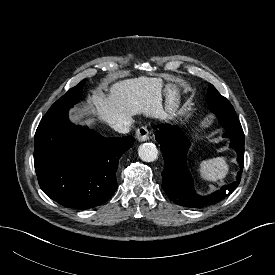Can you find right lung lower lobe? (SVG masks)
I'll list each match as a JSON object with an SVG mask.
<instances>
[{
    "label": "right lung lower lobe",
    "instance_id": "obj_1",
    "mask_svg": "<svg viewBox=\"0 0 275 275\" xmlns=\"http://www.w3.org/2000/svg\"><path fill=\"white\" fill-rule=\"evenodd\" d=\"M68 109L45 115L34 141L40 188L57 203L84 210L99 206L117 189L116 170L132 136L106 138L68 119Z\"/></svg>",
    "mask_w": 275,
    "mask_h": 275
}]
</instances>
